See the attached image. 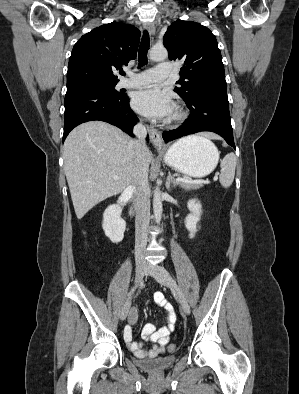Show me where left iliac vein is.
Masks as SVG:
<instances>
[{
	"instance_id": "1",
	"label": "left iliac vein",
	"mask_w": 299,
	"mask_h": 394,
	"mask_svg": "<svg viewBox=\"0 0 299 394\" xmlns=\"http://www.w3.org/2000/svg\"><path fill=\"white\" fill-rule=\"evenodd\" d=\"M147 274L152 275L160 284L168 287L171 291H173L180 302L181 308L184 311L185 314H190V306L182 293V291L179 289L178 285L174 281V279L171 277V275L168 273L167 270H165L161 266H156L153 268L151 265H148L147 267Z\"/></svg>"
}]
</instances>
